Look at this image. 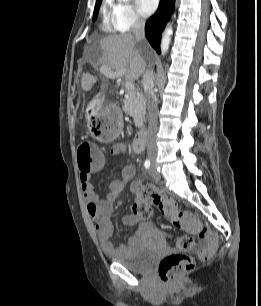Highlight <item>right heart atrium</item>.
I'll return each mask as SVG.
<instances>
[{"label": "right heart atrium", "instance_id": "right-heart-atrium-1", "mask_svg": "<svg viewBox=\"0 0 261 306\" xmlns=\"http://www.w3.org/2000/svg\"><path fill=\"white\" fill-rule=\"evenodd\" d=\"M111 21L118 31H129L143 23L134 6L125 0H110Z\"/></svg>", "mask_w": 261, "mask_h": 306}]
</instances>
